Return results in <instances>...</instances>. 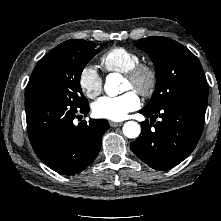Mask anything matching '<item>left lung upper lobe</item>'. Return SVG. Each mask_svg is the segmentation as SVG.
I'll return each instance as SVG.
<instances>
[{
    "label": "left lung upper lobe",
    "instance_id": "obj_1",
    "mask_svg": "<svg viewBox=\"0 0 221 221\" xmlns=\"http://www.w3.org/2000/svg\"><path fill=\"white\" fill-rule=\"evenodd\" d=\"M135 46L144 50L156 66V89L143 109L156 110L186 95L208 97L202 66L186 47L162 36L140 39Z\"/></svg>",
    "mask_w": 221,
    "mask_h": 221
}]
</instances>
